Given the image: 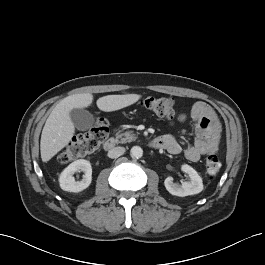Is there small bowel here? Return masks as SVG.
Returning a JSON list of instances; mask_svg holds the SVG:
<instances>
[{
    "instance_id": "c3829d8e",
    "label": "small bowel",
    "mask_w": 265,
    "mask_h": 265,
    "mask_svg": "<svg viewBox=\"0 0 265 265\" xmlns=\"http://www.w3.org/2000/svg\"><path fill=\"white\" fill-rule=\"evenodd\" d=\"M191 116L195 122V138L191 145L183 148L172 135H163L161 138L162 148L167 152L173 155L183 153L188 160L195 162L202 156L218 152L221 125L215 110L203 101L193 104Z\"/></svg>"
}]
</instances>
